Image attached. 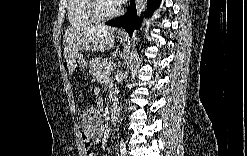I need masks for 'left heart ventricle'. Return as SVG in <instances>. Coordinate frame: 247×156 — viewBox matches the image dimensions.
Listing matches in <instances>:
<instances>
[{"instance_id":"obj_1","label":"left heart ventricle","mask_w":247,"mask_h":156,"mask_svg":"<svg viewBox=\"0 0 247 156\" xmlns=\"http://www.w3.org/2000/svg\"><path fill=\"white\" fill-rule=\"evenodd\" d=\"M115 6L114 1H100L99 12L104 15L109 14L114 10Z\"/></svg>"}]
</instances>
